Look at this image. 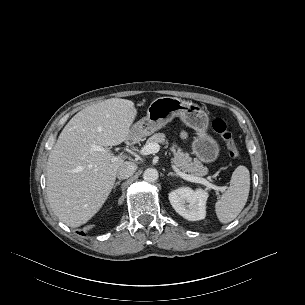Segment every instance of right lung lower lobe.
I'll return each instance as SVG.
<instances>
[{"mask_svg":"<svg viewBox=\"0 0 305 305\" xmlns=\"http://www.w3.org/2000/svg\"><path fill=\"white\" fill-rule=\"evenodd\" d=\"M79 234H81V235H85L83 232H80Z\"/></svg>","mask_w":305,"mask_h":305,"instance_id":"right-lung-lower-lobe-1","label":"right lung lower lobe"}]
</instances>
